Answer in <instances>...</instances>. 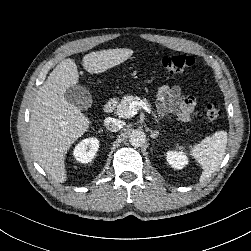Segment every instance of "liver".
I'll return each mask as SVG.
<instances>
[{
    "label": "liver",
    "instance_id": "6515ba94",
    "mask_svg": "<svg viewBox=\"0 0 251 251\" xmlns=\"http://www.w3.org/2000/svg\"><path fill=\"white\" fill-rule=\"evenodd\" d=\"M132 54L130 49L91 52L83 57L82 65L88 73L100 74L123 63ZM78 82L74 60L61 61L37 91L31 108L29 144L34 159L56 182L66 181L65 156L91 124L81 109L64 97L66 90Z\"/></svg>",
    "mask_w": 251,
    "mask_h": 251
}]
</instances>
